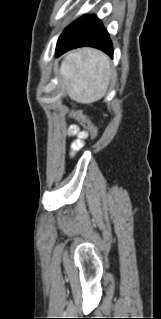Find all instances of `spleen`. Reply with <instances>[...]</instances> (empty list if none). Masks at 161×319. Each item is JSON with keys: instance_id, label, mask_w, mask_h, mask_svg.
Returning a JSON list of instances; mask_svg holds the SVG:
<instances>
[{"instance_id": "3e777b00", "label": "spleen", "mask_w": 161, "mask_h": 319, "mask_svg": "<svg viewBox=\"0 0 161 319\" xmlns=\"http://www.w3.org/2000/svg\"><path fill=\"white\" fill-rule=\"evenodd\" d=\"M69 97L83 104L101 99L109 86L111 67L108 57L94 49H80L63 60L60 68Z\"/></svg>"}]
</instances>
